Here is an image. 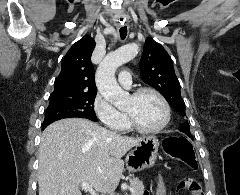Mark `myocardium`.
<instances>
[{
	"label": "myocardium",
	"mask_w": 240,
	"mask_h": 195,
	"mask_svg": "<svg viewBox=\"0 0 240 195\" xmlns=\"http://www.w3.org/2000/svg\"><path fill=\"white\" fill-rule=\"evenodd\" d=\"M145 93H151L159 99V101L162 105V108H163V119H162L161 123L155 127H143L136 121L134 115L130 111L124 110L125 124H126V126L134 129L138 133L155 134V133L160 132L167 126V124L170 120V107H169V104H168L166 98L164 97V95L161 92H159L158 90H156L154 88H150V87H144V88H140V89L136 90L131 95V98L137 99Z\"/></svg>",
	"instance_id": "myocardium-1"
}]
</instances>
